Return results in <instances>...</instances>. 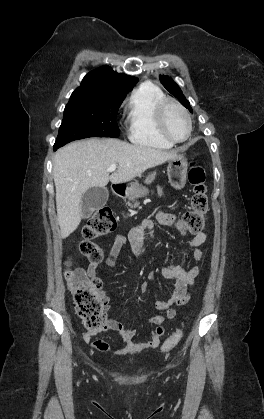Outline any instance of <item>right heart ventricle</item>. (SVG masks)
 Wrapping results in <instances>:
<instances>
[{"mask_svg": "<svg viewBox=\"0 0 264 419\" xmlns=\"http://www.w3.org/2000/svg\"><path fill=\"white\" fill-rule=\"evenodd\" d=\"M164 98L163 91L152 83H143L131 93L126 108L127 134L132 143L163 150L173 146L156 128V108Z\"/></svg>", "mask_w": 264, "mask_h": 419, "instance_id": "right-heart-ventricle-1", "label": "right heart ventricle"}]
</instances>
